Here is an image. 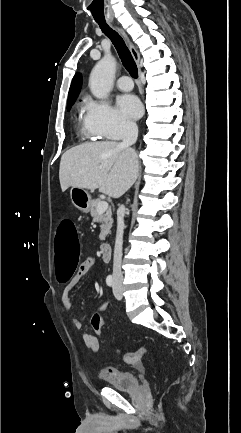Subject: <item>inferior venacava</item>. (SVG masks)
I'll return each mask as SVG.
<instances>
[{"label":"inferior vena cava","mask_w":241,"mask_h":433,"mask_svg":"<svg viewBox=\"0 0 241 433\" xmlns=\"http://www.w3.org/2000/svg\"><path fill=\"white\" fill-rule=\"evenodd\" d=\"M138 127L134 122H126L123 128V139L121 142L122 147H129L137 141ZM124 215L125 206L121 205L117 211V232L114 247L113 258V279L115 281H122L123 274L121 270L122 263V245H123V232H124Z\"/></svg>","instance_id":"602c4592"}]
</instances>
